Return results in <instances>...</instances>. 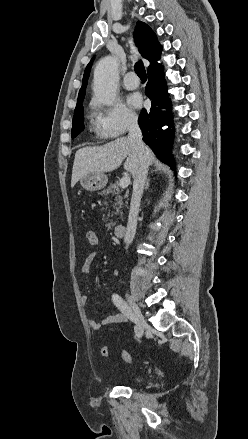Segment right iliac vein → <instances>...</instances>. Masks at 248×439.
<instances>
[{"mask_svg": "<svg viewBox=\"0 0 248 439\" xmlns=\"http://www.w3.org/2000/svg\"><path fill=\"white\" fill-rule=\"evenodd\" d=\"M126 298L134 311V315L136 317V325L139 329V336L141 337L143 335L144 329L146 327V322L143 319V316L140 312L138 305L136 304V302L133 300V298L128 293L126 294Z\"/></svg>", "mask_w": 248, "mask_h": 439, "instance_id": "obj_1", "label": "right iliac vein"}]
</instances>
